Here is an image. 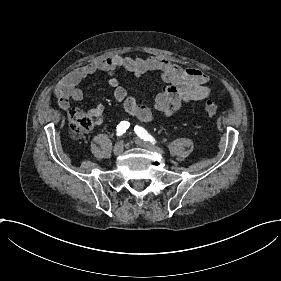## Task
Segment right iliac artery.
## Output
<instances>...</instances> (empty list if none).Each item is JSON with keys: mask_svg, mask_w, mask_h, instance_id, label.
I'll return each instance as SVG.
<instances>
[{"mask_svg": "<svg viewBox=\"0 0 281 281\" xmlns=\"http://www.w3.org/2000/svg\"><path fill=\"white\" fill-rule=\"evenodd\" d=\"M130 126V123L127 121H121L119 125H117V135L120 136L123 133L126 132V129H128Z\"/></svg>", "mask_w": 281, "mask_h": 281, "instance_id": "obj_1", "label": "right iliac artery"}]
</instances>
